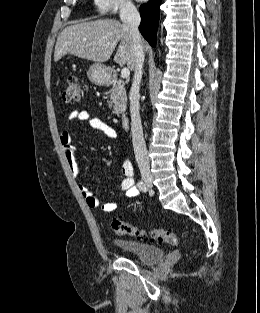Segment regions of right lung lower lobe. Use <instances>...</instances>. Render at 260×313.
I'll return each mask as SVG.
<instances>
[{
  "instance_id": "98d812e1",
  "label": "right lung lower lobe",
  "mask_w": 260,
  "mask_h": 313,
  "mask_svg": "<svg viewBox=\"0 0 260 313\" xmlns=\"http://www.w3.org/2000/svg\"><path fill=\"white\" fill-rule=\"evenodd\" d=\"M160 4L161 0H149L140 6L141 24L139 30L152 47L156 45L155 37L160 17Z\"/></svg>"
}]
</instances>
